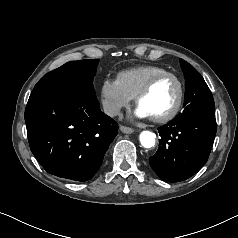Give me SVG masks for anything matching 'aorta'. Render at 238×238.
<instances>
[{
	"label": "aorta",
	"instance_id": "1",
	"mask_svg": "<svg viewBox=\"0 0 238 238\" xmlns=\"http://www.w3.org/2000/svg\"><path fill=\"white\" fill-rule=\"evenodd\" d=\"M155 138H156V135L153 132L148 130L142 131L139 135L140 143L144 148L154 147L156 142Z\"/></svg>",
	"mask_w": 238,
	"mask_h": 238
}]
</instances>
